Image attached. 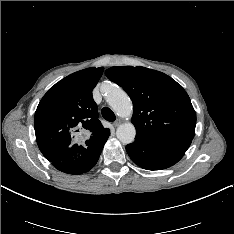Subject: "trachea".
I'll return each instance as SVG.
<instances>
[{
  "mask_svg": "<svg viewBox=\"0 0 234 234\" xmlns=\"http://www.w3.org/2000/svg\"><path fill=\"white\" fill-rule=\"evenodd\" d=\"M101 113L103 118L109 122H113L116 119L114 112L108 107H104Z\"/></svg>",
  "mask_w": 234,
  "mask_h": 234,
  "instance_id": "obj_1",
  "label": "trachea"
}]
</instances>
